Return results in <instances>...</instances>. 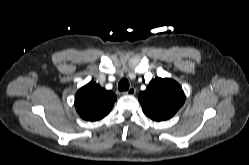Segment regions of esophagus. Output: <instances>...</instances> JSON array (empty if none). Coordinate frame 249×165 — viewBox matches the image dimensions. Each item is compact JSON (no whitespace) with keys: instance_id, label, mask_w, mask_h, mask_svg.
Returning a JSON list of instances; mask_svg holds the SVG:
<instances>
[{"instance_id":"obj_1","label":"esophagus","mask_w":249,"mask_h":165,"mask_svg":"<svg viewBox=\"0 0 249 165\" xmlns=\"http://www.w3.org/2000/svg\"><path fill=\"white\" fill-rule=\"evenodd\" d=\"M136 89L134 87H130L128 91L124 92L126 95H135Z\"/></svg>"}]
</instances>
